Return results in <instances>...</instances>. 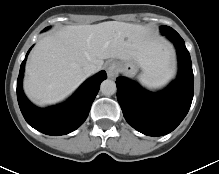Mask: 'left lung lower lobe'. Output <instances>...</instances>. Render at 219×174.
I'll list each match as a JSON object with an SVG mask.
<instances>
[{
	"label": "left lung lower lobe",
	"instance_id": "obj_1",
	"mask_svg": "<svg viewBox=\"0 0 219 174\" xmlns=\"http://www.w3.org/2000/svg\"><path fill=\"white\" fill-rule=\"evenodd\" d=\"M175 45L179 72L177 79L159 93H150L136 82L118 77L117 99L127 122L148 136L172 132L185 118L192 103L194 77L190 54L176 33L166 35Z\"/></svg>",
	"mask_w": 219,
	"mask_h": 174
}]
</instances>
